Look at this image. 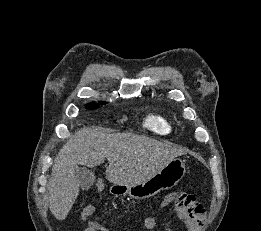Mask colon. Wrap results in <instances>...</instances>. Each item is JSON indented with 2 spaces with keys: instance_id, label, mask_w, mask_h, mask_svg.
Masks as SVG:
<instances>
[{
  "instance_id": "colon-1",
  "label": "colon",
  "mask_w": 261,
  "mask_h": 231,
  "mask_svg": "<svg viewBox=\"0 0 261 231\" xmlns=\"http://www.w3.org/2000/svg\"><path fill=\"white\" fill-rule=\"evenodd\" d=\"M170 202L180 218L199 224L207 221V212L194 195L181 191L174 192L170 195Z\"/></svg>"
}]
</instances>
